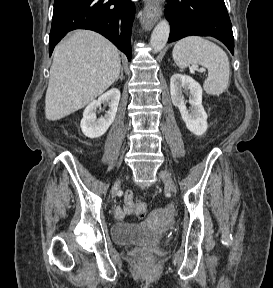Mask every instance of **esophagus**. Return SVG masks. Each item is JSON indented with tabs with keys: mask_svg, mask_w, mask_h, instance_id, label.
I'll return each mask as SVG.
<instances>
[{
	"mask_svg": "<svg viewBox=\"0 0 273 288\" xmlns=\"http://www.w3.org/2000/svg\"><path fill=\"white\" fill-rule=\"evenodd\" d=\"M161 15L160 0H145V7L141 17V22L145 28L152 27L160 19Z\"/></svg>",
	"mask_w": 273,
	"mask_h": 288,
	"instance_id": "obj_1",
	"label": "esophagus"
}]
</instances>
